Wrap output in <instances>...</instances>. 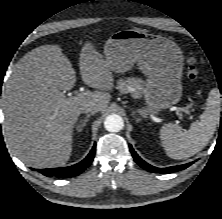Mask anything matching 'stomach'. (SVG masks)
I'll return each mask as SVG.
<instances>
[{"label":"stomach","mask_w":222,"mask_h":219,"mask_svg":"<svg viewBox=\"0 0 222 219\" xmlns=\"http://www.w3.org/2000/svg\"><path fill=\"white\" fill-rule=\"evenodd\" d=\"M104 55L114 72H127L137 63L148 77L142 90L147 106L138 110L143 117L157 114L181 99L184 59L172 40L137 29H124L109 37Z\"/></svg>","instance_id":"1"}]
</instances>
